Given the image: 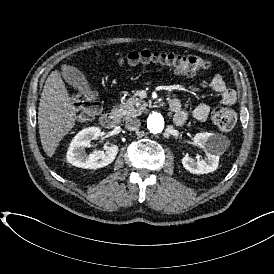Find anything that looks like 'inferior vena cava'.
Instances as JSON below:
<instances>
[{
	"instance_id": "obj_1",
	"label": "inferior vena cava",
	"mask_w": 274,
	"mask_h": 274,
	"mask_svg": "<svg viewBox=\"0 0 274 274\" xmlns=\"http://www.w3.org/2000/svg\"><path fill=\"white\" fill-rule=\"evenodd\" d=\"M141 122L138 119L130 118L125 122V128L129 131H136L140 128Z\"/></svg>"
}]
</instances>
